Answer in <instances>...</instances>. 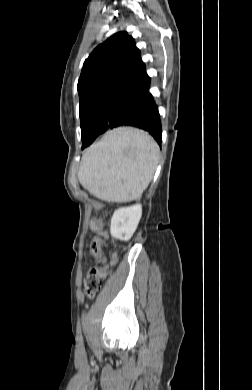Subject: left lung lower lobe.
<instances>
[{
	"label": "left lung lower lobe",
	"instance_id": "0a47b994",
	"mask_svg": "<svg viewBox=\"0 0 252 390\" xmlns=\"http://www.w3.org/2000/svg\"><path fill=\"white\" fill-rule=\"evenodd\" d=\"M150 81L151 79L123 104L115 116L110 118L108 116L107 118L102 117L86 125L82 132V149L89 146L100 134L108 129V126L99 125V122L106 120L110 121V128L132 126L143 129L149 132L161 146L162 124L158 106L149 92Z\"/></svg>",
	"mask_w": 252,
	"mask_h": 390
}]
</instances>
